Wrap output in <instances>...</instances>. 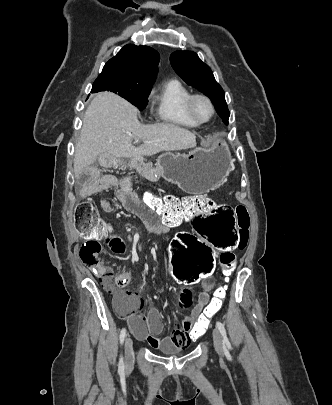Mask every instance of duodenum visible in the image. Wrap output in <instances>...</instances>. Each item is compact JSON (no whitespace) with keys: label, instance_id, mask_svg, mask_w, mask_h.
Instances as JSON below:
<instances>
[{"label":"duodenum","instance_id":"410a0bca","mask_svg":"<svg viewBox=\"0 0 332 405\" xmlns=\"http://www.w3.org/2000/svg\"><path fill=\"white\" fill-rule=\"evenodd\" d=\"M152 217H153V220H154V221H158V220H159L158 217L155 216V215H153Z\"/></svg>","mask_w":332,"mask_h":405}]
</instances>
